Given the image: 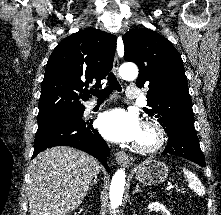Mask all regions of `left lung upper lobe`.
I'll use <instances>...</instances> for the list:
<instances>
[{
	"label": "left lung upper lobe",
	"mask_w": 221,
	"mask_h": 215,
	"mask_svg": "<svg viewBox=\"0 0 221 215\" xmlns=\"http://www.w3.org/2000/svg\"><path fill=\"white\" fill-rule=\"evenodd\" d=\"M123 43L124 59L139 67L136 85L149 87L143 110L163 127L194 125L183 61L172 43L150 29L129 30Z\"/></svg>",
	"instance_id": "left-lung-upper-lobe-1"
}]
</instances>
